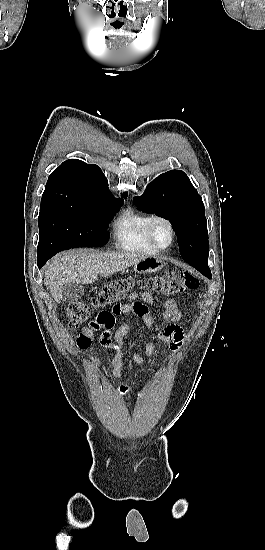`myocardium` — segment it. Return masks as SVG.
Wrapping results in <instances>:
<instances>
[{"instance_id":"1","label":"myocardium","mask_w":265,"mask_h":550,"mask_svg":"<svg viewBox=\"0 0 265 550\" xmlns=\"http://www.w3.org/2000/svg\"><path fill=\"white\" fill-rule=\"evenodd\" d=\"M162 223L166 225L170 232V242L167 246H161L154 236V228L157 224ZM147 237L152 246L158 251H164L172 247L175 242L176 232L171 221L163 216H152L147 225Z\"/></svg>"}]
</instances>
